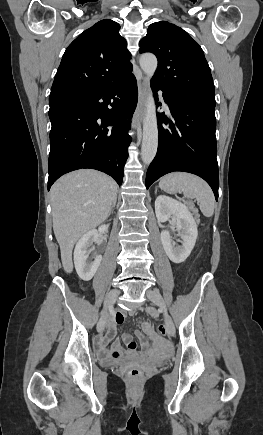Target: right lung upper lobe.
Listing matches in <instances>:
<instances>
[{
	"mask_svg": "<svg viewBox=\"0 0 263 435\" xmlns=\"http://www.w3.org/2000/svg\"><path fill=\"white\" fill-rule=\"evenodd\" d=\"M119 30L117 22L101 20L68 46L55 75L49 103L84 96L131 75V54Z\"/></svg>",
	"mask_w": 263,
	"mask_h": 435,
	"instance_id": "right-lung-upper-lobe-1",
	"label": "right lung upper lobe"
}]
</instances>
